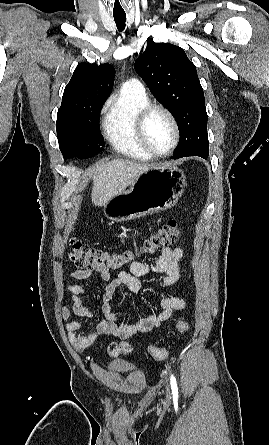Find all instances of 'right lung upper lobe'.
I'll use <instances>...</instances> for the list:
<instances>
[{"instance_id": "1", "label": "right lung upper lobe", "mask_w": 269, "mask_h": 445, "mask_svg": "<svg viewBox=\"0 0 269 445\" xmlns=\"http://www.w3.org/2000/svg\"><path fill=\"white\" fill-rule=\"evenodd\" d=\"M110 64H79L63 93L61 106L105 102L114 84Z\"/></svg>"}]
</instances>
